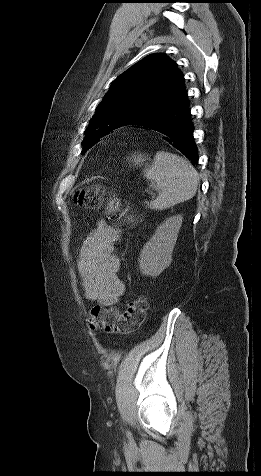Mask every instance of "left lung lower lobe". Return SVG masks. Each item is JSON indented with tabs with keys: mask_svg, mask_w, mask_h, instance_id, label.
Returning a JSON list of instances; mask_svg holds the SVG:
<instances>
[{
	"mask_svg": "<svg viewBox=\"0 0 261 476\" xmlns=\"http://www.w3.org/2000/svg\"><path fill=\"white\" fill-rule=\"evenodd\" d=\"M135 124L161 133L171 147L179 150L193 164L197 163L198 152L194 143L193 123L186 96L161 114L149 116Z\"/></svg>",
	"mask_w": 261,
	"mask_h": 476,
	"instance_id": "left-lung-lower-lobe-1",
	"label": "left lung lower lobe"
}]
</instances>
